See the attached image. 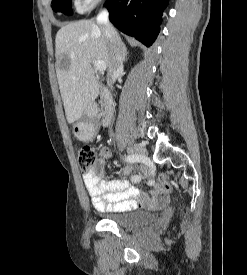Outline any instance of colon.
<instances>
[{
  "mask_svg": "<svg viewBox=\"0 0 247 275\" xmlns=\"http://www.w3.org/2000/svg\"><path fill=\"white\" fill-rule=\"evenodd\" d=\"M96 161V155L94 150L89 146L82 147L78 152V165L80 170L83 173L88 172ZM160 181L162 184L169 190L172 189L171 185L168 182V178L165 175L160 177Z\"/></svg>",
  "mask_w": 247,
  "mask_h": 275,
  "instance_id": "colon-1",
  "label": "colon"
}]
</instances>
